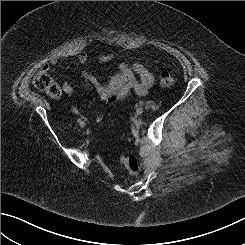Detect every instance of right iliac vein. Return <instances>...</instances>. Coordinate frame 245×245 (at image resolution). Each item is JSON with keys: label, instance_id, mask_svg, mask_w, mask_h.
<instances>
[{"label": "right iliac vein", "instance_id": "obj_1", "mask_svg": "<svg viewBox=\"0 0 245 245\" xmlns=\"http://www.w3.org/2000/svg\"><path fill=\"white\" fill-rule=\"evenodd\" d=\"M84 126H85V123L83 122V123L80 125V127H82V128H83Z\"/></svg>", "mask_w": 245, "mask_h": 245}]
</instances>
